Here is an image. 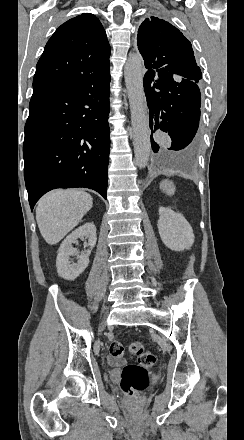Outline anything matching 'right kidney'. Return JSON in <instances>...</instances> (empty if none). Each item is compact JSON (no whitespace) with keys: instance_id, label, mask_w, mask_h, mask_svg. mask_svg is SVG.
Returning a JSON list of instances; mask_svg holds the SVG:
<instances>
[{"instance_id":"ca27d5eb","label":"right kidney","mask_w":244,"mask_h":440,"mask_svg":"<svg viewBox=\"0 0 244 440\" xmlns=\"http://www.w3.org/2000/svg\"><path fill=\"white\" fill-rule=\"evenodd\" d=\"M78 238H87L88 242L85 246H90V250L86 254H82V256H78L77 248H72V244H75ZM96 240V228L93 222L84 224V226H80L78 230H74L72 234H69L59 248L56 260L58 276H61L64 280H75V278H78L79 274H82L89 264V256L96 244ZM70 256H77L78 264H71L69 262Z\"/></svg>"}]
</instances>
